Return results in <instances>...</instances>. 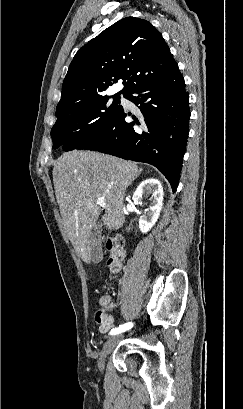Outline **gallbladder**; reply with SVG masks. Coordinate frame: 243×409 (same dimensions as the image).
Instances as JSON below:
<instances>
[{
  "instance_id": "bac80fb5",
  "label": "gallbladder",
  "mask_w": 243,
  "mask_h": 409,
  "mask_svg": "<svg viewBox=\"0 0 243 409\" xmlns=\"http://www.w3.org/2000/svg\"><path fill=\"white\" fill-rule=\"evenodd\" d=\"M91 256L92 261L98 263L102 260V248H101V239L96 233L92 236V245H91Z\"/></svg>"
}]
</instances>
